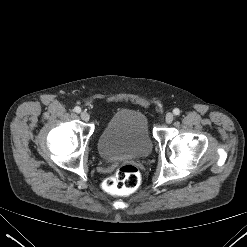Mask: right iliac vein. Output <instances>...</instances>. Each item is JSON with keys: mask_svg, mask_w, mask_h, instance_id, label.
Returning a JSON list of instances; mask_svg holds the SVG:
<instances>
[{"mask_svg": "<svg viewBox=\"0 0 247 247\" xmlns=\"http://www.w3.org/2000/svg\"><path fill=\"white\" fill-rule=\"evenodd\" d=\"M80 117L83 121L86 122L90 119V115L86 111L81 112Z\"/></svg>", "mask_w": 247, "mask_h": 247, "instance_id": "right-iliac-vein-1", "label": "right iliac vein"}]
</instances>
